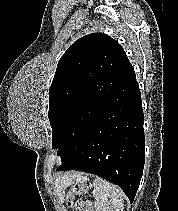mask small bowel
Listing matches in <instances>:
<instances>
[{
	"instance_id": "small-bowel-1",
	"label": "small bowel",
	"mask_w": 178,
	"mask_h": 211,
	"mask_svg": "<svg viewBox=\"0 0 178 211\" xmlns=\"http://www.w3.org/2000/svg\"><path fill=\"white\" fill-rule=\"evenodd\" d=\"M91 210H92V208L89 206L87 208H84L82 211H91Z\"/></svg>"
}]
</instances>
